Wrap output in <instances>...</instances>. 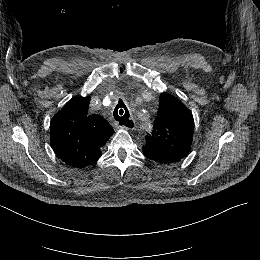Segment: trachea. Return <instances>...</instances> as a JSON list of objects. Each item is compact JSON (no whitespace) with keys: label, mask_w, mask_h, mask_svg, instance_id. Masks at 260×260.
<instances>
[{"label":"trachea","mask_w":260,"mask_h":260,"mask_svg":"<svg viewBox=\"0 0 260 260\" xmlns=\"http://www.w3.org/2000/svg\"><path fill=\"white\" fill-rule=\"evenodd\" d=\"M113 117L116 121L119 122L120 125H126V123L129 121L130 114L127 107L122 103L115 107L113 111Z\"/></svg>","instance_id":"obj_1"}]
</instances>
